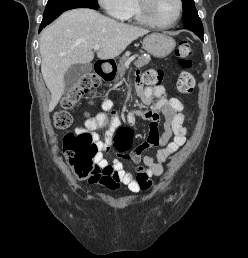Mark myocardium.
I'll list each match as a JSON object with an SVG mask.
<instances>
[{
	"label": "myocardium",
	"instance_id": "f54148a6",
	"mask_svg": "<svg viewBox=\"0 0 248 258\" xmlns=\"http://www.w3.org/2000/svg\"><path fill=\"white\" fill-rule=\"evenodd\" d=\"M150 3H151V0H137V7H138L140 17L145 23L151 26L158 27V28H170L179 21L182 15L183 2L182 0H177L178 10L175 18L169 23H160L152 17L150 13Z\"/></svg>",
	"mask_w": 248,
	"mask_h": 258
}]
</instances>
